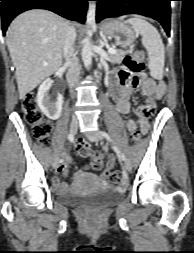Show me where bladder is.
I'll list each match as a JSON object with an SVG mask.
<instances>
[{"mask_svg": "<svg viewBox=\"0 0 194 253\" xmlns=\"http://www.w3.org/2000/svg\"><path fill=\"white\" fill-rule=\"evenodd\" d=\"M123 191L108 187L92 192H72L59 196V201L72 206L104 208L123 198Z\"/></svg>", "mask_w": 194, "mask_h": 253, "instance_id": "bladder-1", "label": "bladder"}]
</instances>
